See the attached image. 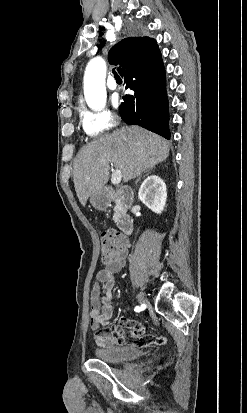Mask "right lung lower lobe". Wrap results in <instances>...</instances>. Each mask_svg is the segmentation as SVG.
I'll use <instances>...</instances> for the list:
<instances>
[{
	"instance_id": "obj_1",
	"label": "right lung lower lobe",
	"mask_w": 247,
	"mask_h": 413,
	"mask_svg": "<svg viewBox=\"0 0 247 413\" xmlns=\"http://www.w3.org/2000/svg\"><path fill=\"white\" fill-rule=\"evenodd\" d=\"M125 79L126 88L134 92L123 97L120 116L127 124L140 125L170 139L168 100L163 63L136 76Z\"/></svg>"
}]
</instances>
